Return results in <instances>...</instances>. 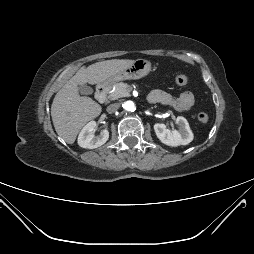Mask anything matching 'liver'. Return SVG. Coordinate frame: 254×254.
<instances>
[{"label": "liver", "instance_id": "obj_1", "mask_svg": "<svg viewBox=\"0 0 254 254\" xmlns=\"http://www.w3.org/2000/svg\"><path fill=\"white\" fill-rule=\"evenodd\" d=\"M135 60L112 59L81 67L55 95L51 117L57 134L68 144H73L81 128L100 115L102 108L89 97L79 95L78 86L100 84L124 70Z\"/></svg>", "mask_w": 254, "mask_h": 254}]
</instances>
